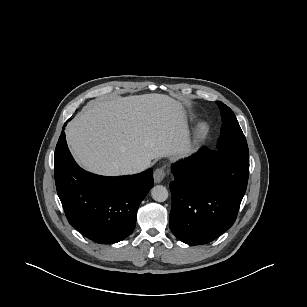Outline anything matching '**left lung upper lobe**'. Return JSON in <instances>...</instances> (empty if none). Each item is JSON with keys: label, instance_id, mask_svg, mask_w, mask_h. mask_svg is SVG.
I'll use <instances>...</instances> for the list:
<instances>
[{"label": "left lung upper lobe", "instance_id": "obj_1", "mask_svg": "<svg viewBox=\"0 0 307 307\" xmlns=\"http://www.w3.org/2000/svg\"><path fill=\"white\" fill-rule=\"evenodd\" d=\"M222 113L221 135L218 140L217 151L232 152L249 159L246 138L239 126L232 110L222 102H218Z\"/></svg>", "mask_w": 307, "mask_h": 307}]
</instances>
